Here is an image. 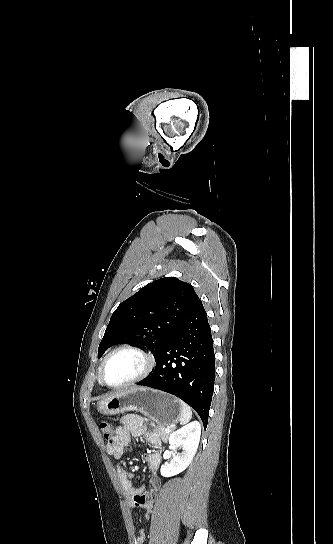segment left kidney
I'll list each match as a JSON object with an SVG mask.
<instances>
[{
  "mask_svg": "<svg viewBox=\"0 0 333 544\" xmlns=\"http://www.w3.org/2000/svg\"><path fill=\"white\" fill-rule=\"evenodd\" d=\"M201 435L199 422L194 421L174 431L169 437V448L182 447V452L173 456L170 464H163L160 472L164 477H171L184 471L192 462L197 451ZM172 452L165 451L163 458H171Z\"/></svg>",
  "mask_w": 333,
  "mask_h": 544,
  "instance_id": "5707ae66",
  "label": "left kidney"
}]
</instances>
